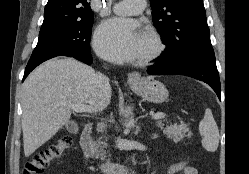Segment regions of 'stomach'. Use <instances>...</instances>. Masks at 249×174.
Instances as JSON below:
<instances>
[{"label":"stomach","instance_id":"stomach-1","mask_svg":"<svg viewBox=\"0 0 249 174\" xmlns=\"http://www.w3.org/2000/svg\"><path fill=\"white\" fill-rule=\"evenodd\" d=\"M131 88L145 100L152 103H163L168 99V90L160 81L153 78H140L136 83H130Z\"/></svg>","mask_w":249,"mask_h":174}]
</instances>
